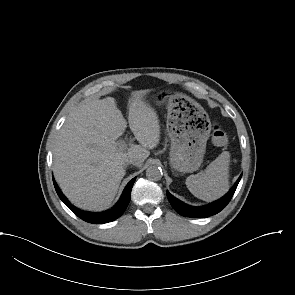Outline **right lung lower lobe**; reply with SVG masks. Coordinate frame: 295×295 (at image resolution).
Returning a JSON list of instances; mask_svg holds the SVG:
<instances>
[{"instance_id": "1", "label": "right lung lower lobe", "mask_w": 295, "mask_h": 295, "mask_svg": "<svg viewBox=\"0 0 295 295\" xmlns=\"http://www.w3.org/2000/svg\"><path fill=\"white\" fill-rule=\"evenodd\" d=\"M134 182H135V178H133L127 184L119 201L117 202V204L113 208H111L105 212H101V213H92V212H86V211L79 210L78 208L71 205V203L62 194L61 190L59 189V187L57 186L56 182L53 179L55 190H56L59 198L62 200V202L82 220L89 222V223H97V224L114 221L115 219H117L118 217H120L123 214V212L125 211L128 203L130 201L131 189H132Z\"/></svg>"}]
</instances>
